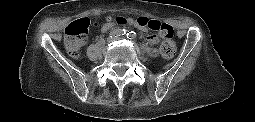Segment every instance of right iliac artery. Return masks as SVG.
Listing matches in <instances>:
<instances>
[{
	"label": "right iliac artery",
	"mask_w": 255,
	"mask_h": 122,
	"mask_svg": "<svg viewBox=\"0 0 255 122\" xmlns=\"http://www.w3.org/2000/svg\"><path fill=\"white\" fill-rule=\"evenodd\" d=\"M129 33V32H128ZM126 30L124 29H117V30H114L110 33V37H118V36H123V35H127L128 34Z\"/></svg>",
	"instance_id": "right-iliac-artery-1"
}]
</instances>
